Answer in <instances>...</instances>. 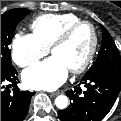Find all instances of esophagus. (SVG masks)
Wrapping results in <instances>:
<instances>
[{"mask_svg": "<svg viewBox=\"0 0 121 121\" xmlns=\"http://www.w3.org/2000/svg\"><path fill=\"white\" fill-rule=\"evenodd\" d=\"M59 94H60V91H55V92L50 93L51 96H56V95H59Z\"/></svg>", "mask_w": 121, "mask_h": 121, "instance_id": "34e87169", "label": "esophagus"}]
</instances>
